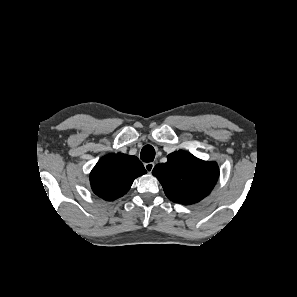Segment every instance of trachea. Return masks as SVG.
I'll return each mask as SVG.
<instances>
[{
    "label": "trachea",
    "instance_id": "1",
    "mask_svg": "<svg viewBox=\"0 0 297 297\" xmlns=\"http://www.w3.org/2000/svg\"><path fill=\"white\" fill-rule=\"evenodd\" d=\"M140 158L143 162H152L155 158V149L151 145L144 146Z\"/></svg>",
    "mask_w": 297,
    "mask_h": 297
}]
</instances>
